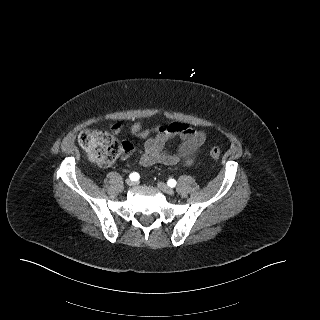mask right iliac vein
Here are the masks:
<instances>
[{
    "label": "right iliac vein",
    "mask_w": 320,
    "mask_h": 320,
    "mask_svg": "<svg viewBox=\"0 0 320 320\" xmlns=\"http://www.w3.org/2000/svg\"><path fill=\"white\" fill-rule=\"evenodd\" d=\"M126 183H127V185H129V186H133V185L135 184V182L132 181L131 179H127V180H126Z\"/></svg>",
    "instance_id": "63e3f726"
}]
</instances>
